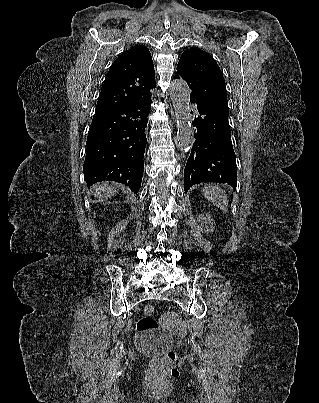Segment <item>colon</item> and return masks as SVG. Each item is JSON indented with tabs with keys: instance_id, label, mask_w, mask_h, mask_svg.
Wrapping results in <instances>:
<instances>
[{
	"instance_id": "1",
	"label": "colon",
	"mask_w": 319,
	"mask_h": 403,
	"mask_svg": "<svg viewBox=\"0 0 319 403\" xmlns=\"http://www.w3.org/2000/svg\"><path fill=\"white\" fill-rule=\"evenodd\" d=\"M155 308L147 306L144 309L143 316L137 322V329L139 332L147 333L158 329V323L154 319ZM177 355L174 349H168L165 354L158 359L151 361L150 366L152 369H160L165 365H172L176 362Z\"/></svg>"
}]
</instances>
